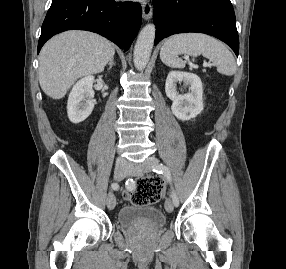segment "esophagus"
<instances>
[{"instance_id": "1", "label": "esophagus", "mask_w": 286, "mask_h": 269, "mask_svg": "<svg viewBox=\"0 0 286 269\" xmlns=\"http://www.w3.org/2000/svg\"><path fill=\"white\" fill-rule=\"evenodd\" d=\"M152 15H153L152 4L150 2H144L142 4V17L145 20H149V19H151Z\"/></svg>"}]
</instances>
